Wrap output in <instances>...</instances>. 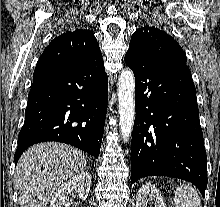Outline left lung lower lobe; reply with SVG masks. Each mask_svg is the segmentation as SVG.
<instances>
[{"mask_svg": "<svg viewBox=\"0 0 220 207\" xmlns=\"http://www.w3.org/2000/svg\"><path fill=\"white\" fill-rule=\"evenodd\" d=\"M125 62L135 75L132 183L146 176L174 177L193 183L204 196L206 151L188 65L157 64L130 52Z\"/></svg>", "mask_w": 220, "mask_h": 207, "instance_id": "1", "label": "left lung lower lobe"}]
</instances>
